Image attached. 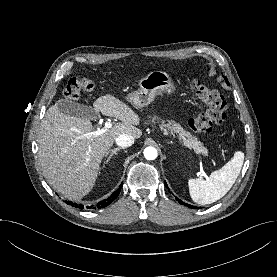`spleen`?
Segmentation results:
<instances>
[{
  "instance_id": "spleen-1",
  "label": "spleen",
  "mask_w": 277,
  "mask_h": 277,
  "mask_svg": "<svg viewBox=\"0 0 277 277\" xmlns=\"http://www.w3.org/2000/svg\"><path fill=\"white\" fill-rule=\"evenodd\" d=\"M244 153L235 152L233 158L208 178L189 179V193L192 200L200 205L211 204L222 198L233 186L240 174Z\"/></svg>"
}]
</instances>
